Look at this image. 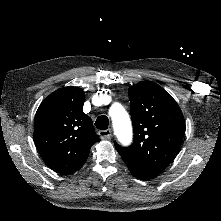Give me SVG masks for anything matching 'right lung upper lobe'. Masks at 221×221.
I'll return each mask as SVG.
<instances>
[{"label": "right lung upper lobe", "mask_w": 221, "mask_h": 221, "mask_svg": "<svg viewBox=\"0 0 221 221\" xmlns=\"http://www.w3.org/2000/svg\"><path fill=\"white\" fill-rule=\"evenodd\" d=\"M85 93L63 87L43 100L34 120V142L44 162L55 172L71 174L86 162L100 141L91 118L83 113Z\"/></svg>", "instance_id": "1"}]
</instances>
